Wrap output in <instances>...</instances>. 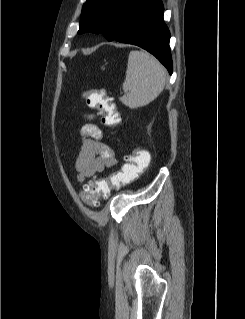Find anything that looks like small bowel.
Wrapping results in <instances>:
<instances>
[{"label":"small bowel","mask_w":245,"mask_h":319,"mask_svg":"<svg viewBox=\"0 0 245 319\" xmlns=\"http://www.w3.org/2000/svg\"><path fill=\"white\" fill-rule=\"evenodd\" d=\"M82 145L75 162L78 179L83 181L115 165L111 146L103 141L102 130L94 123L83 125L79 131Z\"/></svg>","instance_id":"c3829d8e"}]
</instances>
